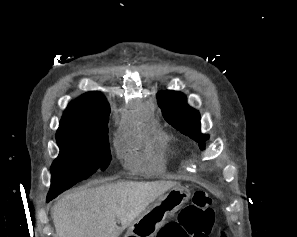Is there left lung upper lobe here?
Returning a JSON list of instances; mask_svg holds the SVG:
<instances>
[{
	"label": "left lung upper lobe",
	"instance_id": "1",
	"mask_svg": "<svg viewBox=\"0 0 297 237\" xmlns=\"http://www.w3.org/2000/svg\"><path fill=\"white\" fill-rule=\"evenodd\" d=\"M157 102L165 120L175 129L199 142L200 149H204L208 135L200 132V114L189 107L186 97L177 91H162L157 94Z\"/></svg>",
	"mask_w": 297,
	"mask_h": 237
}]
</instances>
